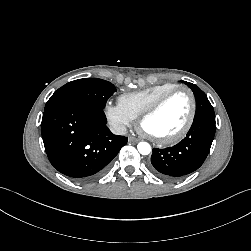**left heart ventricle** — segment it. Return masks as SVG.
Returning <instances> with one entry per match:
<instances>
[{
    "label": "left heart ventricle",
    "mask_w": 251,
    "mask_h": 251,
    "mask_svg": "<svg viewBox=\"0 0 251 251\" xmlns=\"http://www.w3.org/2000/svg\"><path fill=\"white\" fill-rule=\"evenodd\" d=\"M191 102L186 92L171 96L165 104L143 123V129L157 138H166L177 133L186 123Z\"/></svg>",
    "instance_id": "obj_1"
}]
</instances>
